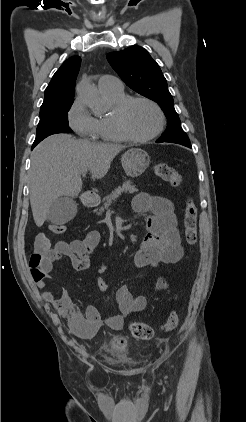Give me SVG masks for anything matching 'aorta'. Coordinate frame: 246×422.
<instances>
[{"label":"aorta","mask_w":246,"mask_h":422,"mask_svg":"<svg viewBox=\"0 0 246 422\" xmlns=\"http://www.w3.org/2000/svg\"><path fill=\"white\" fill-rule=\"evenodd\" d=\"M77 94L78 97L95 112L100 109L101 96L98 90L89 81H81L77 85Z\"/></svg>","instance_id":"762f6f07"}]
</instances>
